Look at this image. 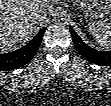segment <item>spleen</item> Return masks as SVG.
Here are the masks:
<instances>
[{
  "instance_id": "spleen-1",
  "label": "spleen",
  "mask_w": 111,
  "mask_h": 106,
  "mask_svg": "<svg viewBox=\"0 0 111 106\" xmlns=\"http://www.w3.org/2000/svg\"><path fill=\"white\" fill-rule=\"evenodd\" d=\"M90 34L102 47L111 49V22L93 21L88 24Z\"/></svg>"
}]
</instances>
